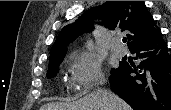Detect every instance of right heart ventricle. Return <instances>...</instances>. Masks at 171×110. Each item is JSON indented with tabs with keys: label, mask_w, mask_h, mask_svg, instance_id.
I'll use <instances>...</instances> for the list:
<instances>
[{
	"label": "right heart ventricle",
	"mask_w": 171,
	"mask_h": 110,
	"mask_svg": "<svg viewBox=\"0 0 171 110\" xmlns=\"http://www.w3.org/2000/svg\"><path fill=\"white\" fill-rule=\"evenodd\" d=\"M71 86H74L75 87V85L72 83V81H71Z\"/></svg>",
	"instance_id": "right-heart-ventricle-1"
}]
</instances>
